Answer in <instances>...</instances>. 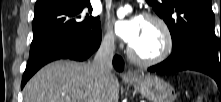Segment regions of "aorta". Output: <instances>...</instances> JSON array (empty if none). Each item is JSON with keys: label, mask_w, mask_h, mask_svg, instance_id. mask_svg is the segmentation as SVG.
Wrapping results in <instances>:
<instances>
[{"label": "aorta", "mask_w": 221, "mask_h": 102, "mask_svg": "<svg viewBox=\"0 0 221 102\" xmlns=\"http://www.w3.org/2000/svg\"><path fill=\"white\" fill-rule=\"evenodd\" d=\"M129 11H131V7L129 5H125L118 9L117 16L119 18H123Z\"/></svg>", "instance_id": "1"}]
</instances>
